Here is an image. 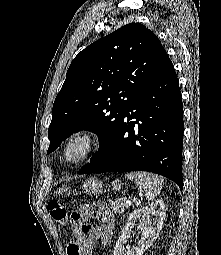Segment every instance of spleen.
<instances>
[{"label":"spleen","instance_id":"obj_1","mask_svg":"<svg viewBox=\"0 0 221 255\" xmlns=\"http://www.w3.org/2000/svg\"><path fill=\"white\" fill-rule=\"evenodd\" d=\"M125 178L133 181L145 192L148 201L154 200L160 194L164 183L161 176L149 172H132L125 174Z\"/></svg>","mask_w":221,"mask_h":255}]
</instances>
